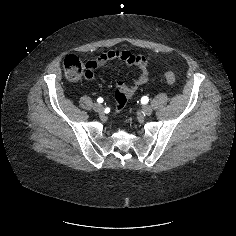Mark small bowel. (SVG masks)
Masks as SVG:
<instances>
[{"label":"small bowel","instance_id":"1","mask_svg":"<svg viewBox=\"0 0 236 236\" xmlns=\"http://www.w3.org/2000/svg\"><path fill=\"white\" fill-rule=\"evenodd\" d=\"M115 60L123 61L128 66H135L140 69V73L133 79L130 85H127L121 80H118L115 83L116 92L122 93L127 100L134 95L140 86L144 85L148 81L149 73L147 59L142 54L132 53L128 50H110L102 53L98 58L88 61L87 66L91 69L94 75L96 70ZM124 105L120 106L115 100L116 112H120Z\"/></svg>","mask_w":236,"mask_h":236}]
</instances>
